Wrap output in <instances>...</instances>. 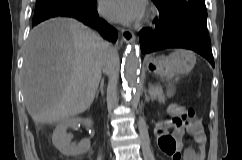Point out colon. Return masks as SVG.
Segmentation results:
<instances>
[{"instance_id":"5ec220e1","label":"colon","mask_w":242,"mask_h":160,"mask_svg":"<svg viewBox=\"0 0 242 160\" xmlns=\"http://www.w3.org/2000/svg\"><path fill=\"white\" fill-rule=\"evenodd\" d=\"M185 112H191L193 114L192 111L182 107V106H173L172 107V115H173V121L176 120L177 117H179L182 113ZM168 122H165V124H167Z\"/></svg>"}]
</instances>
